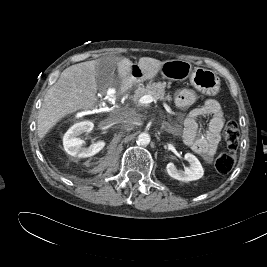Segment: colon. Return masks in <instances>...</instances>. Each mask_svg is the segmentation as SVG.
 I'll return each instance as SVG.
<instances>
[{
  "instance_id": "1",
  "label": "colon",
  "mask_w": 267,
  "mask_h": 267,
  "mask_svg": "<svg viewBox=\"0 0 267 267\" xmlns=\"http://www.w3.org/2000/svg\"><path fill=\"white\" fill-rule=\"evenodd\" d=\"M239 127L236 122L228 121L223 130V137L228 152L220 154L215 161L216 170L221 174L229 173L236 162L235 152L239 144Z\"/></svg>"
}]
</instances>
